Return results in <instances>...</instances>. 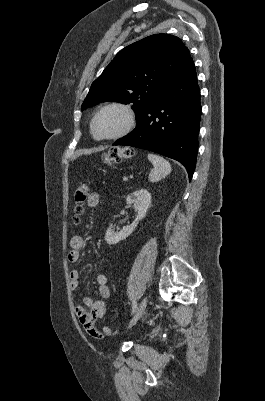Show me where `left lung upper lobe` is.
<instances>
[{
  "label": "left lung upper lobe",
  "instance_id": "5c2ea615",
  "mask_svg": "<svg viewBox=\"0 0 265 401\" xmlns=\"http://www.w3.org/2000/svg\"><path fill=\"white\" fill-rule=\"evenodd\" d=\"M191 59L178 37L155 34L137 41L118 52L92 83L81 110L106 101L133 103L138 120Z\"/></svg>",
  "mask_w": 265,
  "mask_h": 401
}]
</instances>
